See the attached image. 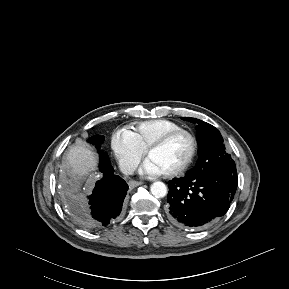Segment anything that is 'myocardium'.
<instances>
[{
	"instance_id": "f54148a6",
	"label": "myocardium",
	"mask_w": 289,
	"mask_h": 289,
	"mask_svg": "<svg viewBox=\"0 0 289 289\" xmlns=\"http://www.w3.org/2000/svg\"><path fill=\"white\" fill-rule=\"evenodd\" d=\"M180 135H186L191 140V144H192L191 152H190L188 158L186 159V161L182 165H180L178 168H176L170 172L163 173V175L165 177H175V176L181 175L192 165V163H193V161L197 155V152H198V139H197L196 135L193 132L186 130V129L174 130V131H171V132L165 134L164 136H162L158 140H156L146 150V156H147V158H149V156L151 155L152 152L164 147L170 141H172L174 138H176Z\"/></svg>"
}]
</instances>
